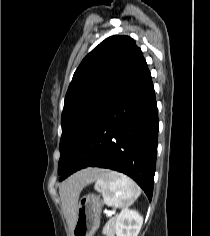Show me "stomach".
I'll list each match as a JSON object with an SVG mask.
<instances>
[{"mask_svg": "<svg viewBox=\"0 0 210 236\" xmlns=\"http://www.w3.org/2000/svg\"><path fill=\"white\" fill-rule=\"evenodd\" d=\"M103 201L99 196L88 194L81 198L77 219L72 236H93L100 224V214Z\"/></svg>", "mask_w": 210, "mask_h": 236, "instance_id": "stomach-1", "label": "stomach"}]
</instances>
